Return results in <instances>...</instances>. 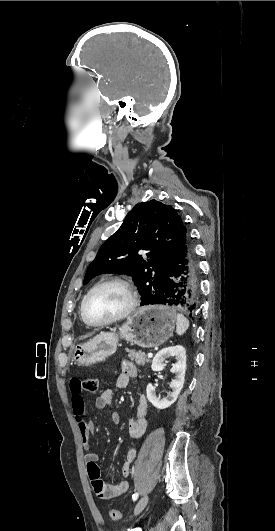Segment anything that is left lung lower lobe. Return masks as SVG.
I'll list each match as a JSON object with an SVG mask.
<instances>
[{
  "label": "left lung lower lobe",
  "instance_id": "1",
  "mask_svg": "<svg viewBox=\"0 0 275 531\" xmlns=\"http://www.w3.org/2000/svg\"><path fill=\"white\" fill-rule=\"evenodd\" d=\"M200 270L189 234L183 238L171 261L166 285L153 304L174 306L195 315L200 300Z\"/></svg>",
  "mask_w": 275,
  "mask_h": 531
}]
</instances>
